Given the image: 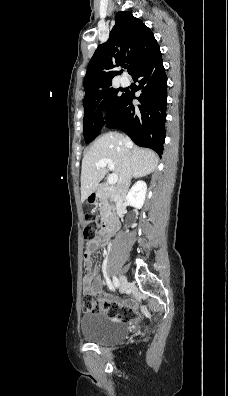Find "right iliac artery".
Here are the masks:
<instances>
[{"label":"right iliac artery","mask_w":228,"mask_h":396,"mask_svg":"<svg viewBox=\"0 0 228 396\" xmlns=\"http://www.w3.org/2000/svg\"><path fill=\"white\" fill-rule=\"evenodd\" d=\"M107 283L111 290H113L114 287L115 288L119 287V280L115 276L113 277V284L110 281H108Z\"/></svg>","instance_id":"1"}]
</instances>
